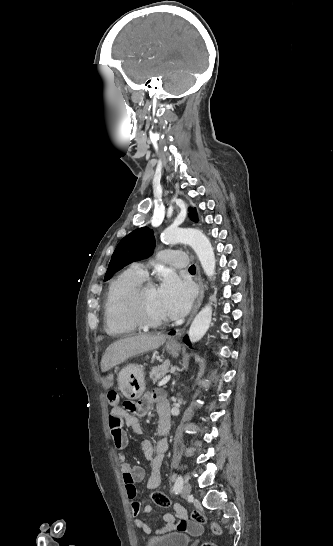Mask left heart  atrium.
<instances>
[{
  "instance_id": "1",
  "label": "left heart atrium",
  "mask_w": 333,
  "mask_h": 546,
  "mask_svg": "<svg viewBox=\"0 0 333 546\" xmlns=\"http://www.w3.org/2000/svg\"><path fill=\"white\" fill-rule=\"evenodd\" d=\"M159 300L167 318L184 316L191 307L193 290L189 283L182 281L173 272L163 275L157 289Z\"/></svg>"
}]
</instances>
